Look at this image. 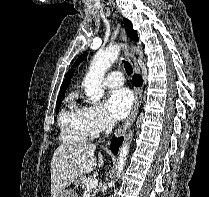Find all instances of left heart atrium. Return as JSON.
I'll list each match as a JSON object with an SVG mask.
<instances>
[{
	"label": "left heart atrium",
	"mask_w": 209,
	"mask_h": 197,
	"mask_svg": "<svg viewBox=\"0 0 209 197\" xmlns=\"http://www.w3.org/2000/svg\"><path fill=\"white\" fill-rule=\"evenodd\" d=\"M133 103V96L127 88L113 89L105 102L109 114L115 119L124 118L130 111Z\"/></svg>",
	"instance_id": "39dd6f15"
}]
</instances>
